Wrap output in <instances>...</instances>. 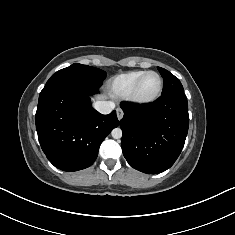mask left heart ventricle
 <instances>
[{
  "label": "left heart ventricle",
  "instance_id": "b2bd125f",
  "mask_svg": "<svg viewBox=\"0 0 235 235\" xmlns=\"http://www.w3.org/2000/svg\"><path fill=\"white\" fill-rule=\"evenodd\" d=\"M159 87V79L155 74L147 75L141 82L138 89V96L149 98L155 95Z\"/></svg>",
  "mask_w": 235,
  "mask_h": 235
}]
</instances>
